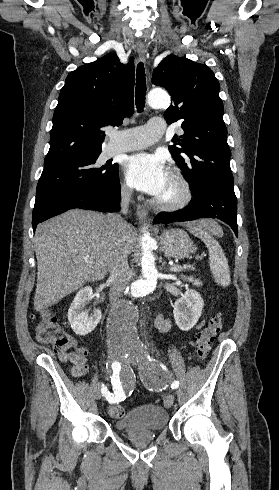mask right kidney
Instances as JSON below:
<instances>
[{"instance_id": "right-kidney-1", "label": "right kidney", "mask_w": 279, "mask_h": 490, "mask_svg": "<svg viewBox=\"0 0 279 490\" xmlns=\"http://www.w3.org/2000/svg\"><path fill=\"white\" fill-rule=\"evenodd\" d=\"M93 290L91 286H86L77 292L69 310L68 322L77 336H87L95 330L101 320V310H93L89 316L87 310H84L87 302L92 300Z\"/></svg>"}]
</instances>
